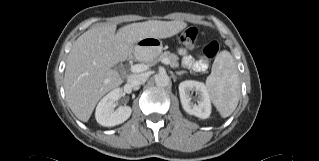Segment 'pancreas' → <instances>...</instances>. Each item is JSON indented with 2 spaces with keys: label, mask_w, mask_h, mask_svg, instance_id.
Returning a JSON list of instances; mask_svg holds the SVG:
<instances>
[{
  "label": "pancreas",
  "mask_w": 319,
  "mask_h": 161,
  "mask_svg": "<svg viewBox=\"0 0 319 161\" xmlns=\"http://www.w3.org/2000/svg\"><path fill=\"white\" fill-rule=\"evenodd\" d=\"M163 59H168L170 61V66L172 68L179 67V61H178L179 57L176 54H174V53H170L169 51L161 53L156 58H154L152 61H150V63L154 64V63H156L158 61H162Z\"/></svg>",
  "instance_id": "1"
}]
</instances>
